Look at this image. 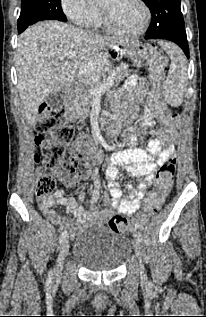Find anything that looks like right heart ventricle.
<instances>
[{
	"label": "right heart ventricle",
	"instance_id": "right-heart-ventricle-1",
	"mask_svg": "<svg viewBox=\"0 0 206 317\" xmlns=\"http://www.w3.org/2000/svg\"><path fill=\"white\" fill-rule=\"evenodd\" d=\"M102 24H103L102 17H101V14L98 11V15H97L96 19L94 20V22L92 23V26L100 27V26H102Z\"/></svg>",
	"mask_w": 206,
	"mask_h": 317
}]
</instances>
